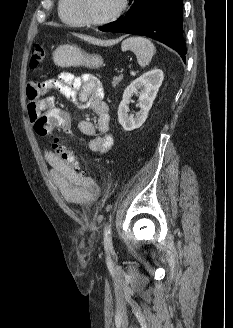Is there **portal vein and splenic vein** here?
<instances>
[{"label": "portal vein and splenic vein", "mask_w": 233, "mask_h": 328, "mask_svg": "<svg viewBox=\"0 0 233 328\" xmlns=\"http://www.w3.org/2000/svg\"><path fill=\"white\" fill-rule=\"evenodd\" d=\"M130 73H131L132 75H135L134 71H131Z\"/></svg>", "instance_id": "portal-vein-and-splenic-vein-1"}]
</instances>
